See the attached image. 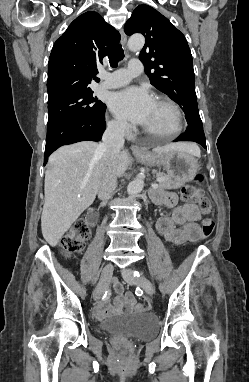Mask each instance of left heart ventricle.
Returning <instances> with one entry per match:
<instances>
[{
  "mask_svg": "<svg viewBox=\"0 0 249 382\" xmlns=\"http://www.w3.org/2000/svg\"><path fill=\"white\" fill-rule=\"evenodd\" d=\"M174 114L164 104L155 102L151 114L143 128L155 134H167L174 129Z\"/></svg>",
  "mask_w": 249,
  "mask_h": 382,
  "instance_id": "1",
  "label": "left heart ventricle"
}]
</instances>
